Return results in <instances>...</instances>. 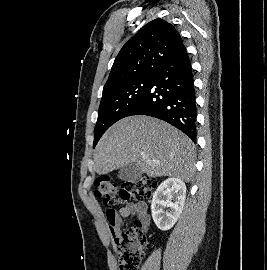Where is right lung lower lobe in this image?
<instances>
[{"mask_svg":"<svg viewBox=\"0 0 267 270\" xmlns=\"http://www.w3.org/2000/svg\"><path fill=\"white\" fill-rule=\"evenodd\" d=\"M195 99L190 60L183 45L156 71L145 95L125 117H156L175 126L195 142Z\"/></svg>","mask_w":267,"mask_h":270,"instance_id":"obj_1","label":"right lung lower lobe"}]
</instances>
